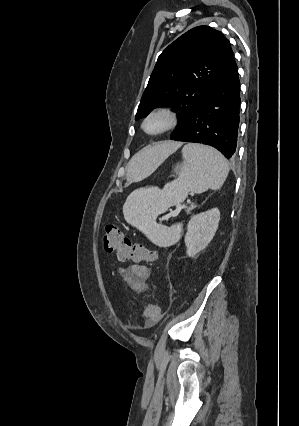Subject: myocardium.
<instances>
[{
    "label": "myocardium",
    "instance_id": "1",
    "mask_svg": "<svg viewBox=\"0 0 299 426\" xmlns=\"http://www.w3.org/2000/svg\"><path fill=\"white\" fill-rule=\"evenodd\" d=\"M157 117H161L165 119L164 126L156 132H149L146 129L147 123L151 119L157 118ZM177 123H178V115L175 112V110H173L171 107H168V106H159V107L153 108L145 115L141 123V129L148 136L155 137V136H160L171 131L177 126Z\"/></svg>",
    "mask_w": 299,
    "mask_h": 426
}]
</instances>
